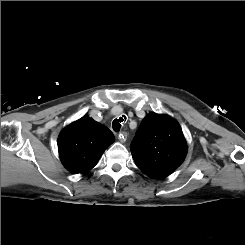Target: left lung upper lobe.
<instances>
[{"mask_svg": "<svg viewBox=\"0 0 245 245\" xmlns=\"http://www.w3.org/2000/svg\"><path fill=\"white\" fill-rule=\"evenodd\" d=\"M130 149L138 168L147 176L159 179L183 163L188 147L175 119L150 113L142 120Z\"/></svg>", "mask_w": 245, "mask_h": 245, "instance_id": "obj_1", "label": "left lung upper lobe"}]
</instances>
